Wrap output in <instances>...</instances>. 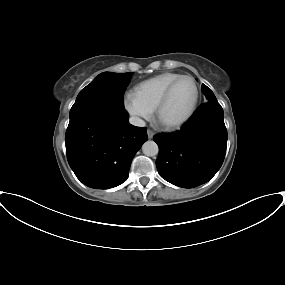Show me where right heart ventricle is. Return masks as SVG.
<instances>
[{
  "label": "right heart ventricle",
  "instance_id": "obj_1",
  "mask_svg": "<svg viewBox=\"0 0 285 285\" xmlns=\"http://www.w3.org/2000/svg\"><path fill=\"white\" fill-rule=\"evenodd\" d=\"M179 76L178 73L166 72L144 80L134 87L133 95L142 105L153 111L165 89Z\"/></svg>",
  "mask_w": 285,
  "mask_h": 285
}]
</instances>
